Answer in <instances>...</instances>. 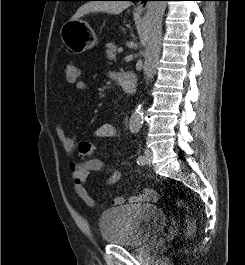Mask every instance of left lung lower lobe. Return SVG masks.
I'll list each match as a JSON object with an SVG mask.
<instances>
[{
  "label": "left lung lower lobe",
  "mask_w": 245,
  "mask_h": 265,
  "mask_svg": "<svg viewBox=\"0 0 245 265\" xmlns=\"http://www.w3.org/2000/svg\"><path fill=\"white\" fill-rule=\"evenodd\" d=\"M130 1H138V0H130Z\"/></svg>",
  "instance_id": "obj_1"
}]
</instances>
